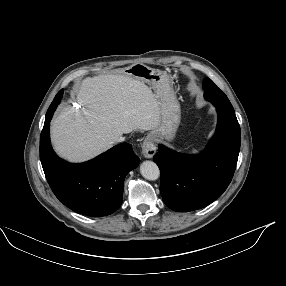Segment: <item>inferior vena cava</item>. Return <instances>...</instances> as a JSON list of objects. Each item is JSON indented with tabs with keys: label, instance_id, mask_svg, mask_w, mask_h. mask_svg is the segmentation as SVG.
Listing matches in <instances>:
<instances>
[{
	"label": "inferior vena cava",
	"instance_id": "1",
	"mask_svg": "<svg viewBox=\"0 0 286 286\" xmlns=\"http://www.w3.org/2000/svg\"><path fill=\"white\" fill-rule=\"evenodd\" d=\"M125 140V138L124 137H122V136H119V137H117V138H115V142H123Z\"/></svg>",
	"mask_w": 286,
	"mask_h": 286
}]
</instances>
